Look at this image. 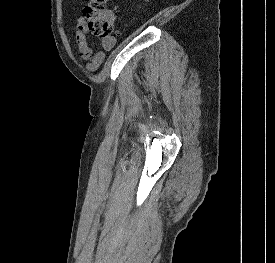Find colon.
<instances>
[{"instance_id": "1", "label": "colon", "mask_w": 275, "mask_h": 263, "mask_svg": "<svg viewBox=\"0 0 275 263\" xmlns=\"http://www.w3.org/2000/svg\"><path fill=\"white\" fill-rule=\"evenodd\" d=\"M109 0H87L83 15L86 19V28L95 36L109 40L114 32V25L106 14Z\"/></svg>"}]
</instances>
